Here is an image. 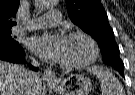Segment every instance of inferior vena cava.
<instances>
[{
  "label": "inferior vena cava",
  "mask_w": 135,
  "mask_h": 95,
  "mask_svg": "<svg viewBox=\"0 0 135 95\" xmlns=\"http://www.w3.org/2000/svg\"><path fill=\"white\" fill-rule=\"evenodd\" d=\"M31 62H32L33 66H35V67L39 66L38 61H36L34 58L31 59ZM37 75L38 74L34 71H31V70L27 71L26 79H27L28 84L32 85L34 83ZM26 95H32V94L28 91V93H26Z\"/></svg>",
  "instance_id": "obj_1"
}]
</instances>
